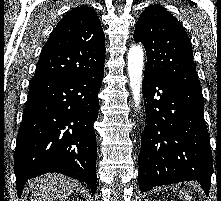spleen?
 <instances>
[{
  "label": "spleen",
  "mask_w": 221,
  "mask_h": 201,
  "mask_svg": "<svg viewBox=\"0 0 221 201\" xmlns=\"http://www.w3.org/2000/svg\"><path fill=\"white\" fill-rule=\"evenodd\" d=\"M180 195L187 201H191V196L187 192H180Z\"/></svg>",
  "instance_id": "obj_1"
}]
</instances>
